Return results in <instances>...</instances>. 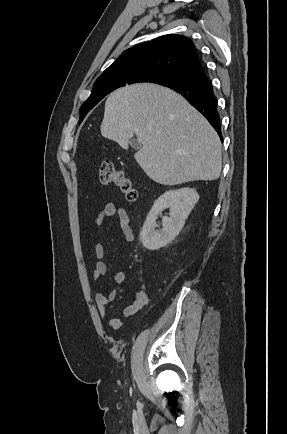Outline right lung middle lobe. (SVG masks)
<instances>
[{
	"instance_id": "right-lung-middle-lobe-1",
	"label": "right lung middle lobe",
	"mask_w": 287,
	"mask_h": 434,
	"mask_svg": "<svg viewBox=\"0 0 287 434\" xmlns=\"http://www.w3.org/2000/svg\"><path fill=\"white\" fill-rule=\"evenodd\" d=\"M180 78L181 75L179 74L163 70L150 69L135 73L117 74L97 79L89 98L83 103L80 108L79 123L97 103H99L106 95L119 87L143 82L156 83L161 85L166 82L177 81Z\"/></svg>"
}]
</instances>
